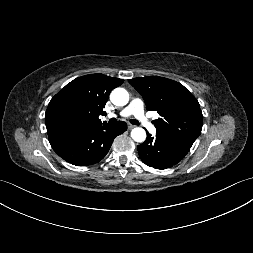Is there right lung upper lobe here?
Wrapping results in <instances>:
<instances>
[{"instance_id": "obj_1", "label": "right lung upper lobe", "mask_w": 253, "mask_h": 253, "mask_svg": "<svg viewBox=\"0 0 253 253\" xmlns=\"http://www.w3.org/2000/svg\"><path fill=\"white\" fill-rule=\"evenodd\" d=\"M122 83V79L103 74L74 79L51 99L45 115L46 127L53 118L61 114L72 117L74 127L71 134L107 125L101 122L99 115L105 113L103 108L110 92ZM48 137L49 141L59 139Z\"/></svg>"}]
</instances>
